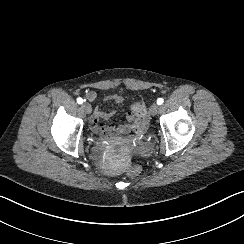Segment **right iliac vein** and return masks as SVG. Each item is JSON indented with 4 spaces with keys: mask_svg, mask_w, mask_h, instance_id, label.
I'll return each mask as SVG.
<instances>
[{
    "mask_svg": "<svg viewBox=\"0 0 244 244\" xmlns=\"http://www.w3.org/2000/svg\"><path fill=\"white\" fill-rule=\"evenodd\" d=\"M81 108H82V110L85 111L87 114H90V113L92 112V107H91V105L88 104V103H83V104L81 105Z\"/></svg>",
    "mask_w": 244,
    "mask_h": 244,
    "instance_id": "right-iliac-vein-1",
    "label": "right iliac vein"
}]
</instances>
